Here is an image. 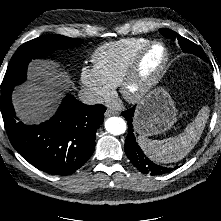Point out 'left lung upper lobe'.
<instances>
[{
  "instance_id": "1",
  "label": "left lung upper lobe",
  "mask_w": 221,
  "mask_h": 221,
  "mask_svg": "<svg viewBox=\"0 0 221 221\" xmlns=\"http://www.w3.org/2000/svg\"><path fill=\"white\" fill-rule=\"evenodd\" d=\"M159 32L165 37L169 38L175 41L179 42V45L184 53H191L194 54L200 58H202L204 61H207L206 56L203 52V50L196 45L195 43L191 42L190 40L180 36L176 32L169 30V29H159Z\"/></svg>"
}]
</instances>
